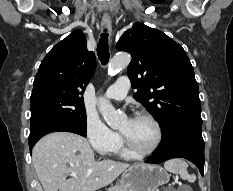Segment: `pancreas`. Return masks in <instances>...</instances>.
Instances as JSON below:
<instances>
[{"instance_id": "pancreas-1", "label": "pancreas", "mask_w": 233, "mask_h": 191, "mask_svg": "<svg viewBox=\"0 0 233 191\" xmlns=\"http://www.w3.org/2000/svg\"><path fill=\"white\" fill-rule=\"evenodd\" d=\"M108 191H126V190L120 185H116V186L109 188ZM172 191H176V190H172Z\"/></svg>"}]
</instances>
